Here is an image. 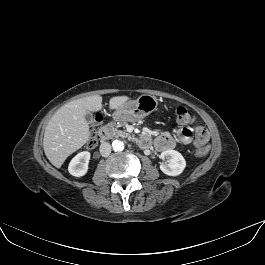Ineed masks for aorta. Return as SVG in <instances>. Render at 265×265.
Here are the masks:
<instances>
[{
    "instance_id": "762f6f07",
    "label": "aorta",
    "mask_w": 265,
    "mask_h": 265,
    "mask_svg": "<svg viewBox=\"0 0 265 265\" xmlns=\"http://www.w3.org/2000/svg\"><path fill=\"white\" fill-rule=\"evenodd\" d=\"M112 148L115 152H121L124 149V142L121 140H114L112 142Z\"/></svg>"
}]
</instances>
